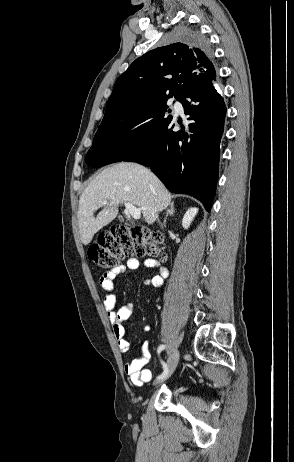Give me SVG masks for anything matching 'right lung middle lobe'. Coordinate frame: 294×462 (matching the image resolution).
<instances>
[{"label": "right lung middle lobe", "mask_w": 294, "mask_h": 462, "mask_svg": "<svg viewBox=\"0 0 294 462\" xmlns=\"http://www.w3.org/2000/svg\"><path fill=\"white\" fill-rule=\"evenodd\" d=\"M176 38L190 46L209 50L207 39L197 30L180 28ZM172 96L146 100L123 111L110 114L103 121L95 134L94 142L85 161L101 157L104 165L122 161L128 154L144 143L163 125L172 120L167 116L171 112L167 101ZM179 99L180 96H174Z\"/></svg>", "instance_id": "obj_1"}]
</instances>
